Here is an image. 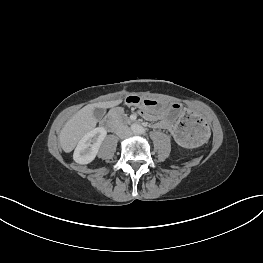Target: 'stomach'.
Listing matches in <instances>:
<instances>
[{
	"mask_svg": "<svg viewBox=\"0 0 263 263\" xmlns=\"http://www.w3.org/2000/svg\"><path fill=\"white\" fill-rule=\"evenodd\" d=\"M126 104L138 106L153 113L159 112L161 124L175 132L178 142L186 148L199 146L207 138V131L201 116L190 111L182 103L164 105L156 99L129 96Z\"/></svg>",
	"mask_w": 263,
	"mask_h": 263,
	"instance_id": "obj_1",
	"label": "stomach"
}]
</instances>
